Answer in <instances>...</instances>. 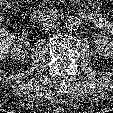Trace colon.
<instances>
[{"label":"colon","mask_w":113,"mask_h":113,"mask_svg":"<svg viewBox=\"0 0 113 113\" xmlns=\"http://www.w3.org/2000/svg\"><path fill=\"white\" fill-rule=\"evenodd\" d=\"M6 0H0V8ZM14 39V33L10 28L0 27V58L10 49Z\"/></svg>","instance_id":"obj_1"}]
</instances>
